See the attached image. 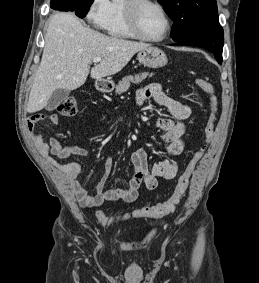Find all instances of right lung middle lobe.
<instances>
[{
  "mask_svg": "<svg viewBox=\"0 0 259 283\" xmlns=\"http://www.w3.org/2000/svg\"><path fill=\"white\" fill-rule=\"evenodd\" d=\"M93 1L94 0H77L76 15L80 18L85 17Z\"/></svg>",
  "mask_w": 259,
  "mask_h": 283,
  "instance_id": "1",
  "label": "right lung middle lobe"
}]
</instances>
